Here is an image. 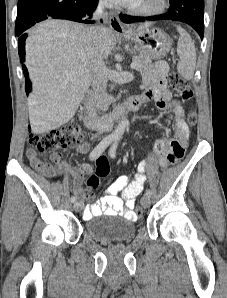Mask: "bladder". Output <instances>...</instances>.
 <instances>
[{"label": "bladder", "mask_w": 227, "mask_h": 298, "mask_svg": "<svg viewBox=\"0 0 227 298\" xmlns=\"http://www.w3.org/2000/svg\"><path fill=\"white\" fill-rule=\"evenodd\" d=\"M86 233L94 241L102 244L131 240L137 231L134 221L122 219H91L86 222Z\"/></svg>", "instance_id": "1"}]
</instances>
